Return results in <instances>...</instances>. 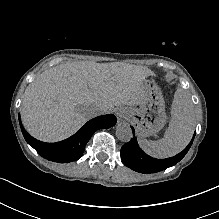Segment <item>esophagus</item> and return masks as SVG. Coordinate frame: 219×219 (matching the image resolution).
I'll use <instances>...</instances> for the list:
<instances>
[{
	"instance_id": "esophagus-1",
	"label": "esophagus",
	"mask_w": 219,
	"mask_h": 219,
	"mask_svg": "<svg viewBox=\"0 0 219 219\" xmlns=\"http://www.w3.org/2000/svg\"><path fill=\"white\" fill-rule=\"evenodd\" d=\"M116 115H117L119 120H127L128 119V115L123 114L121 111H117Z\"/></svg>"
}]
</instances>
